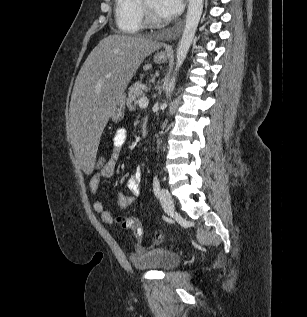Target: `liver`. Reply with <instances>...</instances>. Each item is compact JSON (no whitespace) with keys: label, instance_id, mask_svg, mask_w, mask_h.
I'll return each mask as SVG.
<instances>
[{"label":"liver","instance_id":"obj_1","mask_svg":"<svg viewBox=\"0 0 307 317\" xmlns=\"http://www.w3.org/2000/svg\"><path fill=\"white\" fill-rule=\"evenodd\" d=\"M161 43L149 37L113 34L91 51L75 80L69 134L82 175H92L100 136L117 100L137 69Z\"/></svg>","mask_w":307,"mask_h":317}]
</instances>
